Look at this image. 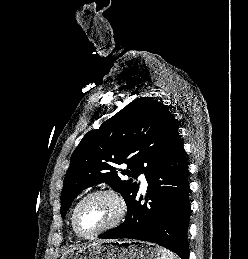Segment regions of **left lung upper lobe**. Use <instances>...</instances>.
I'll return each instance as SVG.
<instances>
[{
    "label": "left lung upper lobe",
    "instance_id": "left-lung-upper-lobe-1",
    "mask_svg": "<svg viewBox=\"0 0 248 259\" xmlns=\"http://www.w3.org/2000/svg\"><path fill=\"white\" fill-rule=\"evenodd\" d=\"M176 120L166 105L149 97L129 103L99 129L89 131L71 156L61 193L62 218L85 188L102 182L120 192L127 207L138 195L139 174L149 173L180 145ZM126 163L132 178L121 180L116 164Z\"/></svg>",
    "mask_w": 248,
    "mask_h": 259
}]
</instances>
